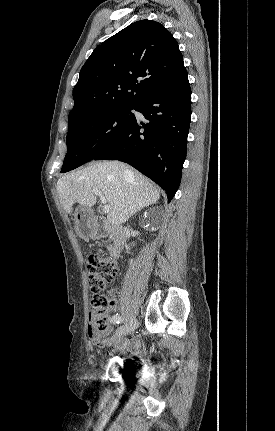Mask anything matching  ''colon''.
<instances>
[{
    "label": "colon",
    "mask_w": 275,
    "mask_h": 431,
    "mask_svg": "<svg viewBox=\"0 0 275 431\" xmlns=\"http://www.w3.org/2000/svg\"><path fill=\"white\" fill-rule=\"evenodd\" d=\"M117 263L103 253H93L88 260V285L93 294L91 329L102 332L109 327V315L114 301L102 294L108 281L115 276Z\"/></svg>",
    "instance_id": "1"
}]
</instances>
